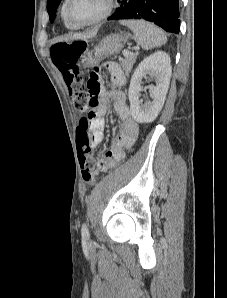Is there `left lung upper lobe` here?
<instances>
[{
  "mask_svg": "<svg viewBox=\"0 0 227 298\" xmlns=\"http://www.w3.org/2000/svg\"><path fill=\"white\" fill-rule=\"evenodd\" d=\"M61 0H48L47 2V11L49 13L51 23L54 21L56 16L57 8L60 4Z\"/></svg>",
  "mask_w": 227,
  "mask_h": 298,
  "instance_id": "5c2ea615",
  "label": "left lung upper lobe"
}]
</instances>
